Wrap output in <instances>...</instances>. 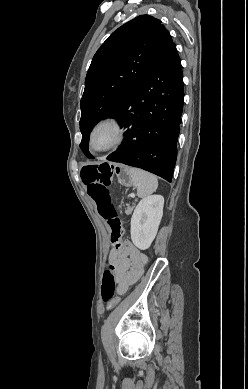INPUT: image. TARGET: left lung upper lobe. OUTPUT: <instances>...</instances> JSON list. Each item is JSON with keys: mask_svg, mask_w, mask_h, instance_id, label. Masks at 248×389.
I'll return each mask as SVG.
<instances>
[{"mask_svg": "<svg viewBox=\"0 0 248 389\" xmlns=\"http://www.w3.org/2000/svg\"><path fill=\"white\" fill-rule=\"evenodd\" d=\"M172 44L159 19L140 15L114 31L95 53L80 103V148L88 158H93L88 151L92 128L117 114Z\"/></svg>", "mask_w": 248, "mask_h": 389, "instance_id": "obj_1", "label": "left lung upper lobe"}]
</instances>
